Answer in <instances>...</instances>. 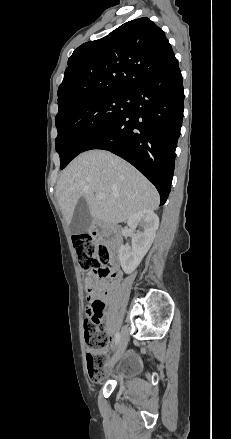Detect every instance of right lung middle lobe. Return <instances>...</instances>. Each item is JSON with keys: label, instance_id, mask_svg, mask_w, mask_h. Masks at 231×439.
<instances>
[{"label": "right lung middle lobe", "instance_id": "right-lung-middle-lobe-1", "mask_svg": "<svg viewBox=\"0 0 231 439\" xmlns=\"http://www.w3.org/2000/svg\"><path fill=\"white\" fill-rule=\"evenodd\" d=\"M130 99L131 94L93 97L56 116L58 136L55 144L62 169L129 110Z\"/></svg>", "mask_w": 231, "mask_h": 439}]
</instances>
